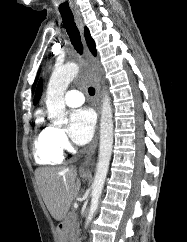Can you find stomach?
Instances as JSON below:
<instances>
[{"label":"stomach","mask_w":187,"mask_h":242,"mask_svg":"<svg viewBox=\"0 0 187 242\" xmlns=\"http://www.w3.org/2000/svg\"><path fill=\"white\" fill-rule=\"evenodd\" d=\"M82 176L86 178V175L83 174ZM57 235L59 242H68V233L62 224L57 227Z\"/></svg>","instance_id":"1"}]
</instances>
